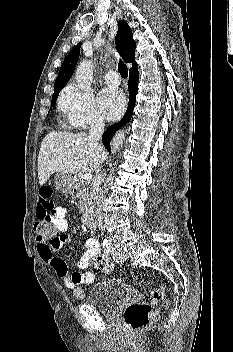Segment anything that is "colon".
I'll return each mask as SVG.
<instances>
[{"label": "colon", "mask_w": 233, "mask_h": 352, "mask_svg": "<svg viewBox=\"0 0 233 352\" xmlns=\"http://www.w3.org/2000/svg\"><path fill=\"white\" fill-rule=\"evenodd\" d=\"M34 231L37 238L42 241L58 240L59 236L51 222L47 219L37 220L34 224ZM89 265L104 272L110 273L113 265L110 260L103 255L97 254L89 257ZM79 275L73 276L76 287L73 295L76 299H84L86 291L80 283ZM165 286L158 285L147 292L149 301L134 302L129 304L123 311V323L125 328L130 332H137L152 323L158 314V306L163 308L169 306V301L164 299Z\"/></svg>", "instance_id": "colon-1"}]
</instances>
